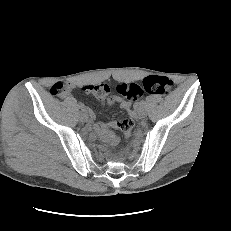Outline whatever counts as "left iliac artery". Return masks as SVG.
<instances>
[{
  "instance_id": "44dca946",
  "label": "left iliac artery",
  "mask_w": 231,
  "mask_h": 231,
  "mask_svg": "<svg viewBox=\"0 0 231 231\" xmlns=\"http://www.w3.org/2000/svg\"><path fill=\"white\" fill-rule=\"evenodd\" d=\"M139 107H140V108H145V107H146V102L143 101V100L140 101V102H139Z\"/></svg>"
}]
</instances>
